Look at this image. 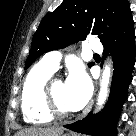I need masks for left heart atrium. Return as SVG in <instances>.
<instances>
[{"mask_svg":"<svg viewBox=\"0 0 136 136\" xmlns=\"http://www.w3.org/2000/svg\"><path fill=\"white\" fill-rule=\"evenodd\" d=\"M66 100L72 111L81 109L89 100L92 84L89 76L81 68L71 70L66 82Z\"/></svg>","mask_w":136,"mask_h":136,"instance_id":"1","label":"left heart atrium"}]
</instances>
